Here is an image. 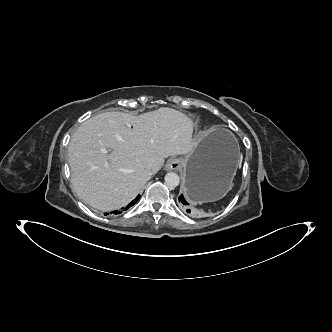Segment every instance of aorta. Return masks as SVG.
I'll return each instance as SVG.
<instances>
[{"label":"aorta","mask_w":332,"mask_h":332,"mask_svg":"<svg viewBox=\"0 0 332 332\" xmlns=\"http://www.w3.org/2000/svg\"><path fill=\"white\" fill-rule=\"evenodd\" d=\"M165 183L168 187H177L180 183V179L177 173L169 172L165 175Z\"/></svg>","instance_id":"obj_1"}]
</instances>
